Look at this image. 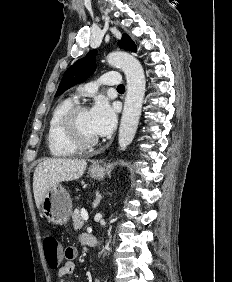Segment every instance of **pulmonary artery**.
<instances>
[{
	"label": "pulmonary artery",
	"mask_w": 232,
	"mask_h": 282,
	"mask_svg": "<svg viewBox=\"0 0 232 282\" xmlns=\"http://www.w3.org/2000/svg\"><path fill=\"white\" fill-rule=\"evenodd\" d=\"M101 83L108 86H118L121 84L120 74L116 71L106 72L101 77ZM96 89L95 85H87L83 89L85 92H93Z\"/></svg>",
	"instance_id": "e3ab8cb5"
}]
</instances>
